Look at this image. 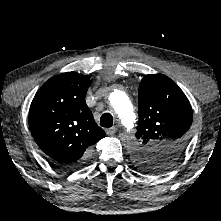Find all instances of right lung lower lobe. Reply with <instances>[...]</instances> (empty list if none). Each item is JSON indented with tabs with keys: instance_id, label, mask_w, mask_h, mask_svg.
<instances>
[{
	"instance_id": "right-lung-lower-lobe-1",
	"label": "right lung lower lobe",
	"mask_w": 221,
	"mask_h": 221,
	"mask_svg": "<svg viewBox=\"0 0 221 221\" xmlns=\"http://www.w3.org/2000/svg\"><path fill=\"white\" fill-rule=\"evenodd\" d=\"M82 162H84V161H80V162H78V163L70 164V165H67V164H59V163H55V162H53V163L56 164L57 166L61 167V168L69 169V168H73V167H76V166L80 165Z\"/></svg>"
}]
</instances>
